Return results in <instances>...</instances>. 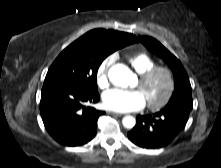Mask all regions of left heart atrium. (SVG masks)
Wrapping results in <instances>:
<instances>
[{"mask_svg": "<svg viewBox=\"0 0 221 168\" xmlns=\"http://www.w3.org/2000/svg\"><path fill=\"white\" fill-rule=\"evenodd\" d=\"M102 103L114 112H131L142 109L146 100L140 90L111 89L104 92Z\"/></svg>", "mask_w": 221, "mask_h": 168, "instance_id": "1", "label": "left heart atrium"}]
</instances>
